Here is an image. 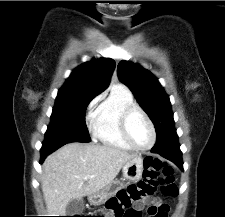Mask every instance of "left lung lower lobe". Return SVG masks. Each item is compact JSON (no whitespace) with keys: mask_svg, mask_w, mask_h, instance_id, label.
<instances>
[{"mask_svg":"<svg viewBox=\"0 0 225 217\" xmlns=\"http://www.w3.org/2000/svg\"><path fill=\"white\" fill-rule=\"evenodd\" d=\"M154 153H157L166 159L174 162L178 167L183 169V162H182V152L180 151V146L175 145L169 148H165L162 150L153 151Z\"/></svg>","mask_w":225,"mask_h":217,"instance_id":"1","label":"left lung lower lobe"}]
</instances>
